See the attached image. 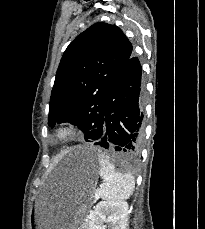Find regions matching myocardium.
Masks as SVG:
<instances>
[{
    "label": "myocardium",
    "instance_id": "obj_1",
    "mask_svg": "<svg viewBox=\"0 0 205 229\" xmlns=\"http://www.w3.org/2000/svg\"><path fill=\"white\" fill-rule=\"evenodd\" d=\"M76 133L74 126L70 124L59 126L53 134L54 143H63L70 140Z\"/></svg>",
    "mask_w": 205,
    "mask_h": 229
}]
</instances>
